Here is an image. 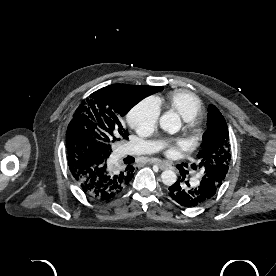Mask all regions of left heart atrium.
Instances as JSON below:
<instances>
[{"instance_id": "39dd6f15", "label": "left heart atrium", "mask_w": 276, "mask_h": 276, "mask_svg": "<svg viewBox=\"0 0 276 276\" xmlns=\"http://www.w3.org/2000/svg\"><path fill=\"white\" fill-rule=\"evenodd\" d=\"M184 147H185L184 141L182 139L176 138L172 140V143L165 150V155L168 157H173L176 155L179 149H182Z\"/></svg>"}]
</instances>
